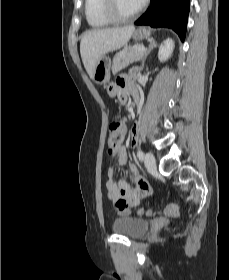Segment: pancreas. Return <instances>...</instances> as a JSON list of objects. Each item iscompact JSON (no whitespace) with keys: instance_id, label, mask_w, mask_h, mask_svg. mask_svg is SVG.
<instances>
[{"instance_id":"obj_1","label":"pancreas","mask_w":229,"mask_h":280,"mask_svg":"<svg viewBox=\"0 0 229 280\" xmlns=\"http://www.w3.org/2000/svg\"><path fill=\"white\" fill-rule=\"evenodd\" d=\"M138 47H140V45H134L133 47L124 49L115 55L112 63V72L114 74L124 69L129 64L142 59L144 53L138 52Z\"/></svg>"}]
</instances>
